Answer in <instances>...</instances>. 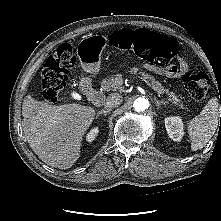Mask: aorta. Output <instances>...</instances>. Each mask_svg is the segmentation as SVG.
<instances>
[{"label": "aorta", "instance_id": "762f6f07", "mask_svg": "<svg viewBox=\"0 0 221 221\" xmlns=\"http://www.w3.org/2000/svg\"><path fill=\"white\" fill-rule=\"evenodd\" d=\"M133 107L137 112L144 111L149 107V102L146 98L139 97L134 101Z\"/></svg>", "mask_w": 221, "mask_h": 221}]
</instances>
